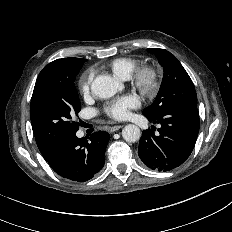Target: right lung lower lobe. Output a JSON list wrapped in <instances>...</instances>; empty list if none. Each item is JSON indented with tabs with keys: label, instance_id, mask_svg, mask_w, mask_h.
I'll use <instances>...</instances> for the list:
<instances>
[{
	"label": "right lung lower lobe",
	"instance_id": "right-lung-lower-lobe-1",
	"mask_svg": "<svg viewBox=\"0 0 232 232\" xmlns=\"http://www.w3.org/2000/svg\"><path fill=\"white\" fill-rule=\"evenodd\" d=\"M110 135L94 132L89 140L75 133L62 139L46 161L60 176L73 181H87L104 166V155Z\"/></svg>",
	"mask_w": 232,
	"mask_h": 232
}]
</instances>
